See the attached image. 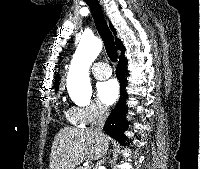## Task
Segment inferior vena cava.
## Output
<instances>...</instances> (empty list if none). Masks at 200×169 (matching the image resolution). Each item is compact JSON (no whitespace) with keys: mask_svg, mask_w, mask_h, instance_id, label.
I'll return each mask as SVG.
<instances>
[{"mask_svg":"<svg viewBox=\"0 0 200 169\" xmlns=\"http://www.w3.org/2000/svg\"><path fill=\"white\" fill-rule=\"evenodd\" d=\"M107 117H108V108L106 106L100 104L98 106L97 122L90 127V130L94 131L96 134H98L100 136H103L102 130H103V126L105 124ZM106 150H105V153H106ZM101 163H102V160L99 161V165Z\"/></svg>","mask_w":200,"mask_h":169,"instance_id":"602c4592","label":"inferior vena cava"}]
</instances>
